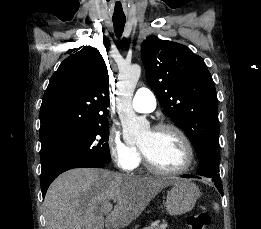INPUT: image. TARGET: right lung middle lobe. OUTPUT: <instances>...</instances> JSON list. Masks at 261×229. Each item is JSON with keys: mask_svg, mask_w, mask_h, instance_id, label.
<instances>
[{"mask_svg": "<svg viewBox=\"0 0 261 229\" xmlns=\"http://www.w3.org/2000/svg\"><path fill=\"white\" fill-rule=\"evenodd\" d=\"M108 138V122H103L93 125L71 140L41 149V172L81 163L108 164L111 160Z\"/></svg>", "mask_w": 261, "mask_h": 229, "instance_id": "dd1d6c3e", "label": "right lung middle lobe"}]
</instances>
